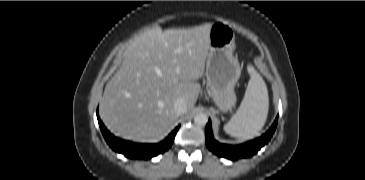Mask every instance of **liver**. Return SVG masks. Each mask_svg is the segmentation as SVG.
Here are the masks:
<instances>
[{"label": "liver", "mask_w": 365, "mask_h": 180, "mask_svg": "<svg viewBox=\"0 0 365 180\" xmlns=\"http://www.w3.org/2000/svg\"><path fill=\"white\" fill-rule=\"evenodd\" d=\"M210 27L154 28L136 37L103 93L101 115L108 129L128 140L154 142L174 127L177 98L192 110L209 53Z\"/></svg>", "instance_id": "liver-1"}]
</instances>
